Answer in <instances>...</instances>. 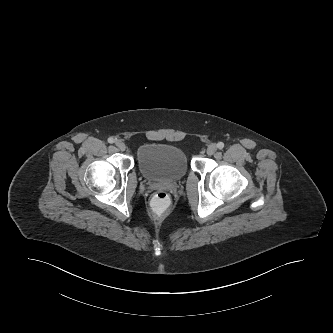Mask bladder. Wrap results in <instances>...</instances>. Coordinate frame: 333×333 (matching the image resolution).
Segmentation results:
<instances>
[{
	"label": "bladder",
	"instance_id": "bladder-1",
	"mask_svg": "<svg viewBox=\"0 0 333 333\" xmlns=\"http://www.w3.org/2000/svg\"><path fill=\"white\" fill-rule=\"evenodd\" d=\"M136 160L142 176L153 181H177L188 170L185 153L169 145L145 144L138 148Z\"/></svg>",
	"mask_w": 333,
	"mask_h": 333
}]
</instances>
